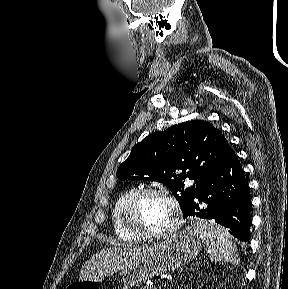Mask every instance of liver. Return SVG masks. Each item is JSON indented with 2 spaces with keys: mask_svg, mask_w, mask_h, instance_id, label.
Returning <instances> with one entry per match:
<instances>
[{
  "mask_svg": "<svg viewBox=\"0 0 288 289\" xmlns=\"http://www.w3.org/2000/svg\"><path fill=\"white\" fill-rule=\"evenodd\" d=\"M148 248H107L93 255L80 270V280L94 279L127 266L146 254Z\"/></svg>",
  "mask_w": 288,
  "mask_h": 289,
  "instance_id": "obj_1",
  "label": "liver"
}]
</instances>
